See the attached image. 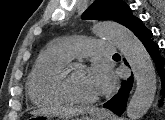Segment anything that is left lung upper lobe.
<instances>
[{"mask_svg":"<svg viewBox=\"0 0 165 120\" xmlns=\"http://www.w3.org/2000/svg\"><path fill=\"white\" fill-rule=\"evenodd\" d=\"M83 19L114 20L131 29L137 17L123 0H96L83 13Z\"/></svg>","mask_w":165,"mask_h":120,"instance_id":"5c2ea615","label":"left lung upper lobe"}]
</instances>
